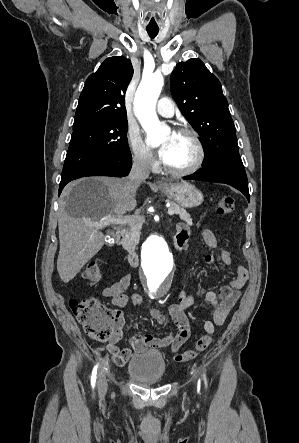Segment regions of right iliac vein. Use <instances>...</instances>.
Segmentation results:
<instances>
[{
  "label": "right iliac vein",
  "instance_id": "obj_1",
  "mask_svg": "<svg viewBox=\"0 0 299 443\" xmlns=\"http://www.w3.org/2000/svg\"><path fill=\"white\" fill-rule=\"evenodd\" d=\"M107 380H106V372L101 370L98 377V392L100 396H104L107 391Z\"/></svg>",
  "mask_w": 299,
  "mask_h": 443
}]
</instances>
